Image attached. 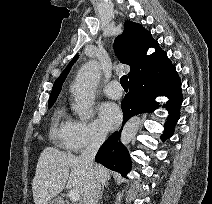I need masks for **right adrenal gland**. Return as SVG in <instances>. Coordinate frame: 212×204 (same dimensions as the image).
<instances>
[{
  "label": "right adrenal gland",
  "instance_id": "2a0ac1e0",
  "mask_svg": "<svg viewBox=\"0 0 212 204\" xmlns=\"http://www.w3.org/2000/svg\"><path fill=\"white\" fill-rule=\"evenodd\" d=\"M103 191H104V185L102 186V191H101V194H100V197H99V199H102V194H103Z\"/></svg>",
  "mask_w": 212,
  "mask_h": 204
}]
</instances>
